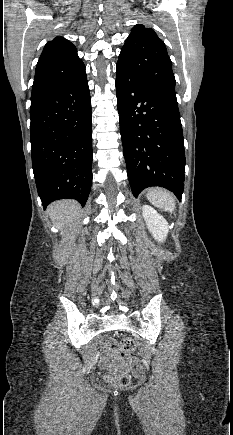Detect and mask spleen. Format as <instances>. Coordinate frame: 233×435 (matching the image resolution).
Here are the masks:
<instances>
[{
    "label": "spleen",
    "instance_id": "spleen-1",
    "mask_svg": "<svg viewBox=\"0 0 233 435\" xmlns=\"http://www.w3.org/2000/svg\"><path fill=\"white\" fill-rule=\"evenodd\" d=\"M147 199L156 207L164 209L167 212H174L176 210V204L173 195L162 188H151L148 190Z\"/></svg>",
    "mask_w": 233,
    "mask_h": 435
}]
</instances>
